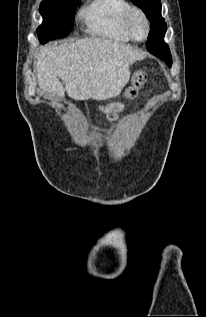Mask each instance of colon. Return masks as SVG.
<instances>
[{
    "label": "colon",
    "instance_id": "5ec220e1",
    "mask_svg": "<svg viewBox=\"0 0 206 317\" xmlns=\"http://www.w3.org/2000/svg\"><path fill=\"white\" fill-rule=\"evenodd\" d=\"M147 75L145 69L140 68L136 70L131 78L130 83L125 89L124 95L127 98L134 97L142 85L146 82ZM122 109V105L119 102H111L100 108V111L105 114L108 120L114 121L117 119L119 112Z\"/></svg>",
    "mask_w": 206,
    "mask_h": 317
}]
</instances>
